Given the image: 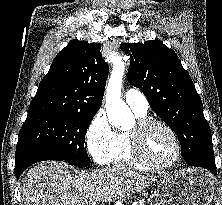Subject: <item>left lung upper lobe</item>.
Returning <instances> with one entry per match:
<instances>
[{"label": "left lung upper lobe", "instance_id": "5c2ea615", "mask_svg": "<svg viewBox=\"0 0 222 205\" xmlns=\"http://www.w3.org/2000/svg\"><path fill=\"white\" fill-rule=\"evenodd\" d=\"M130 55L128 80L176 133L182 155L215 162L209 125L193 81L175 52L159 40L121 44Z\"/></svg>", "mask_w": 222, "mask_h": 205}]
</instances>
